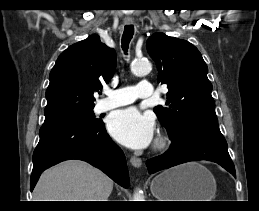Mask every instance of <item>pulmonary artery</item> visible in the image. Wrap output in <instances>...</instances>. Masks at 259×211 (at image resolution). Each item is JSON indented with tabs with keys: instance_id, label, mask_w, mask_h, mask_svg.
Wrapping results in <instances>:
<instances>
[{
	"instance_id": "obj_1",
	"label": "pulmonary artery",
	"mask_w": 259,
	"mask_h": 211,
	"mask_svg": "<svg viewBox=\"0 0 259 211\" xmlns=\"http://www.w3.org/2000/svg\"><path fill=\"white\" fill-rule=\"evenodd\" d=\"M152 96L153 88L151 83L143 80L136 86L107 90L106 97L98 102L96 110L98 112H105L113 108L131 104L137 99L151 98Z\"/></svg>"
}]
</instances>
